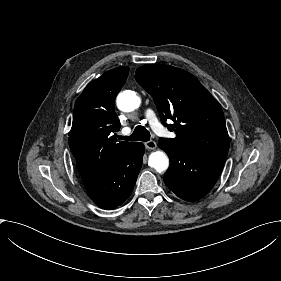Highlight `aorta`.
<instances>
[{"label":"aorta","instance_id":"aorta-1","mask_svg":"<svg viewBox=\"0 0 281 281\" xmlns=\"http://www.w3.org/2000/svg\"><path fill=\"white\" fill-rule=\"evenodd\" d=\"M116 104L119 110L132 112L139 108L141 99L134 91L125 90L118 94ZM148 165L157 172H164L169 167V159L163 151H155L149 155Z\"/></svg>","mask_w":281,"mask_h":281}]
</instances>
